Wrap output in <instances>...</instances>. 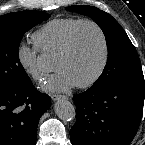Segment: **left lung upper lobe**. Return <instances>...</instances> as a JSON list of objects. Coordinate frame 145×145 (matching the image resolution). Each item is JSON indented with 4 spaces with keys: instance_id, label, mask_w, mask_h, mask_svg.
Wrapping results in <instances>:
<instances>
[{
    "instance_id": "obj_1",
    "label": "left lung upper lobe",
    "mask_w": 145,
    "mask_h": 145,
    "mask_svg": "<svg viewBox=\"0 0 145 145\" xmlns=\"http://www.w3.org/2000/svg\"><path fill=\"white\" fill-rule=\"evenodd\" d=\"M67 11L88 15L103 30L108 48L107 64L91 88L100 89L131 80L144 79L139 56L120 24L108 13L96 7L74 5Z\"/></svg>"
}]
</instances>
